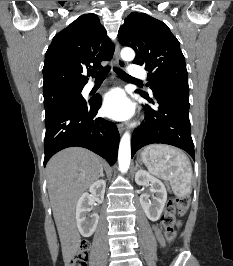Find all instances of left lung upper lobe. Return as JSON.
I'll return each mask as SVG.
<instances>
[{
	"instance_id": "left-lung-upper-lobe-1",
	"label": "left lung upper lobe",
	"mask_w": 233,
	"mask_h": 266,
	"mask_svg": "<svg viewBox=\"0 0 233 266\" xmlns=\"http://www.w3.org/2000/svg\"><path fill=\"white\" fill-rule=\"evenodd\" d=\"M123 46L136 52L134 64L145 65L152 90L173 82H186L185 58L168 26L145 13L133 12L118 33ZM146 94V93H145Z\"/></svg>"
}]
</instances>
